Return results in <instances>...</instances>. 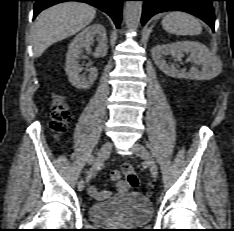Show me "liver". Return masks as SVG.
<instances>
[{
  "label": "liver",
  "instance_id": "6515ba94",
  "mask_svg": "<svg viewBox=\"0 0 234 231\" xmlns=\"http://www.w3.org/2000/svg\"><path fill=\"white\" fill-rule=\"evenodd\" d=\"M94 7L79 2H65L42 11L32 28L34 55L40 57L53 43L66 39L95 18Z\"/></svg>",
  "mask_w": 234,
  "mask_h": 231
}]
</instances>
